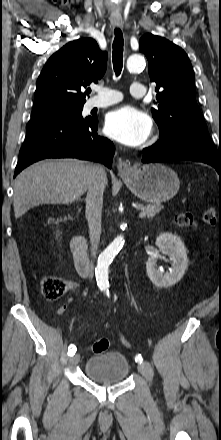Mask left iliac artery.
I'll use <instances>...</instances> for the list:
<instances>
[{
    "mask_svg": "<svg viewBox=\"0 0 221 440\" xmlns=\"http://www.w3.org/2000/svg\"><path fill=\"white\" fill-rule=\"evenodd\" d=\"M135 361L136 362H140V363H142V361H143V358H142V356L139 354V355H137L136 357H135Z\"/></svg>",
    "mask_w": 221,
    "mask_h": 440,
    "instance_id": "obj_1",
    "label": "left iliac artery"
}]
</instances>
